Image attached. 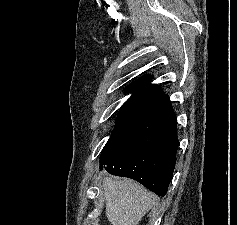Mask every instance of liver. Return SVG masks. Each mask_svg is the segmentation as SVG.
I'll return each mask as SVG.
<instances>
[{"label":"liver","instance_id":"6515ba94","mask_svg":"<svg viewBox=\"0 0 237 225\" xmlns=\"http://www.w3.org/2000/svg\"><path fill=\"white\" fill-rule=\"evenodd\" d=\"M106 216L111 225H138L156 196L131 179H103Z\"/></svg>","mask_w":237,"mask_h":225}]
</instances>
